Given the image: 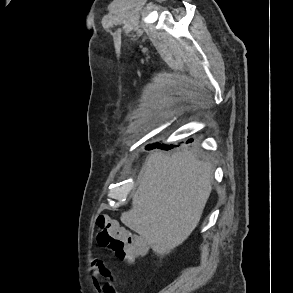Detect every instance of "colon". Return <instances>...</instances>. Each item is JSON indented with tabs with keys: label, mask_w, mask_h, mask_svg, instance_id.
Segmentation results:
<instances>
[{
	"label": "colon",
	"mask_w": 293,
	"mask_h": 293,
	"mask_svg": "<svg viewBox=\"0 0 293 293\" xmlns=\"http://www.w3.org/2000/svg\"><path fill=\"white\" fill-rule=\"evenodd\" d=\"M96 224L98 244L111 251L116 258L133 263L146 252L148 246L143 238L120 228L108 215L99 214Z\"/></svg>",
	"instance_id": "colon-1"
}]
</instances>
